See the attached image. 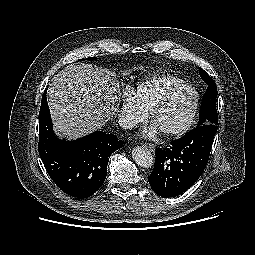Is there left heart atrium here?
Segmentation results:
<instances>
[{
    "mask_svg": "<svg viewBox=\"0 0 255 255\" xmlns=\"http://www.w3.org/2000/svg\"><path fill=\"white\" fill-rule=\"evenodd\" d=\"M158 133V128L155 126V124L151 125L149 128L145 129L142 132V135L144 137H154Z\"/></svg>",
    "mask_w": 255,
    "mask_h": 255,
    "instance_id": "1",
    "label": "left heart atrium"
}]
</instances>
